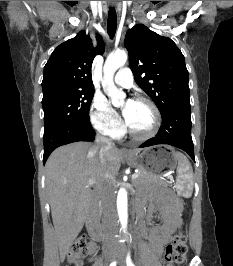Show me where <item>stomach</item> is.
Listing matches in <instances>:
<instances>
[{
  "mask_svg": "<svg viewBox=\"0 0 233 266\" xmlns=\"http://www.w3.org/2000/svg\"><path fill=\"white\" fill-rule=\"evenodd\" d=\"M177 147L153 146L143 150H134L124 156L126 162L141 171L154 176H171V169L178 166L180 156H175Z\"/></svg>",
  "mask_w": 233,
  "mask_h": 266,
  "instance_id": "obj_1",
  "label": "stomach"
}]
</instances>
